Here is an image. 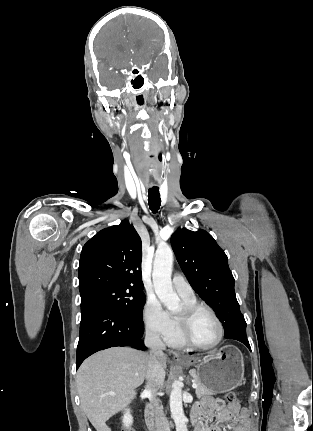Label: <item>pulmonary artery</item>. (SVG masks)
Here are the masks:
<instances>
[{
	"mask_svg": "<svg viewBox=\"0 0 313 431\" xmlns=\"http://www.w3.org/2000/svg\"><path fill=\"white\" fill-rule=\"evenodd\" d=\"M172 284H173L174 290L181 297H184V298L195 297L193 288L182 275H179V274L174 275L172 279Z\"/></svg>",
	"mask_w": 313,
	"mask_h": 431,
	"instance_id": "e3ab8cb5",
	"label": "pulmonary artery"
}]
</instances>
